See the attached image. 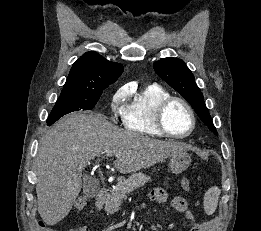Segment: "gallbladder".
<instances>
[{"instance_id":"bac80fb5","label":"gallbladder","mask_w":261,"mask_h":231,"mask_svg":"<svg viewBox=\"0 0 261 231\" xmlns=\"http://www.w3.org/2000/svg\"><path fill=\"white\" fill-rule=\"evenodd\" d=\"M84 181V192L86 196H93L99 191V185L93 178L89 176L83 177Z\"/></svg>"}]
</instances>
